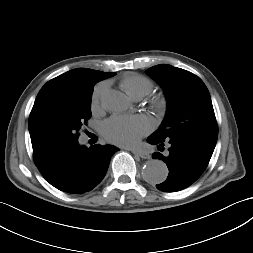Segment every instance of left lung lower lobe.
<instances>
[{"mask_svg": "<svg viewBox=\"0 0 253 253\" xmlns=\"http://www.w3.org/2000/svg\"><path fill=\"white\" fill-rule=\"evenodd\" d=\"M147 141L158 145L159 150L164 146V141L152 137ZM167 141L170 143L167 157L158 152L152 155L155 159L163 160L169 169L167 179L156 187L164 192H175L190 186L200 177L210 161L216 141L188 135Z\"/></svg>", "mask_w": 253, "mask_h": 253, "instance_id": "0a47b994", "label": "left lung lower lobe"}]
</instances>
